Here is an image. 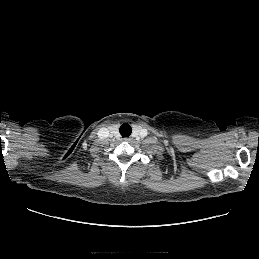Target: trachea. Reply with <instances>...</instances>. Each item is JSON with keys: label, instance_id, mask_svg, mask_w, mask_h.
I'll use <instances>...</instances> for the list:
<instances>
[{"label": "trachea", "instance_id": "obj_1", "mask_svg": "<svg viewBox=\"0 0 259 259\" xmlns=\"http://www.w3.org/2000/svg\"><path fill=\"white\" fill-rule=\"evenodd\" d=\"M119 131L122 137H128L132 132V128L129 124L124 123L121 125Z\"/></svg>", "mask_w": 259, "mask_h": 259}]
</instances>
